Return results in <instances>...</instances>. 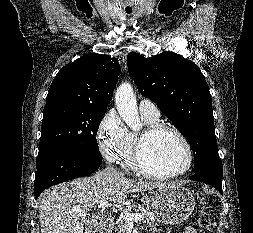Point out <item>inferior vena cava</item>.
<instances>
[{"mask_svg": "<svg viewBox=\"0 0 253 233\" xmlns=\"http://www.w3.org/2000/svg\"><path fill=\"white\" fill-rule=\"evenodd\" d=\"M105 172H107V173H117V171L112 166H108L105 169Z\"/></svg>", "mask_w": 253, "mask_h": 233, "instance_id": "obj_1", "label": "inferior vena cava"}]
</instances>
